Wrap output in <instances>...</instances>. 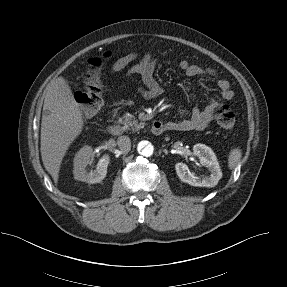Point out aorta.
Wrapping results in <instances>:
<instances>
[{"mask_svg":"<svg viewBox=\"0 0 287 287\" xmlns=\"http://www.w3.org/2000/svg\"><path fill=\"white\" fill-rule=\"evenodd\" d=\"M138 153L145 157H150L154 153V146L147 140H142L137 144Z\"/></svg>","mask_w":287,"mask_h":287,"instance_id":"1","label":"aorta"}]
</instances>
